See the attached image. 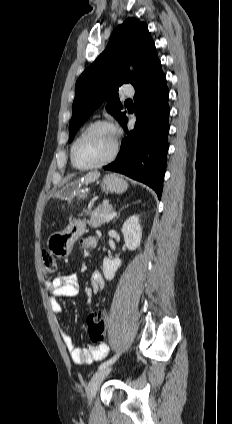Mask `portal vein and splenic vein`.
<instances>
[{"label": "portal vein and splenic vein", "mask_w": 232, "mask_h": 424, "mask_svg": "<svg viewBox=\"0 0 232 424\" xmlns=\"http://www.w3.org/2000/svg\"><path fill=\"white\" fill-rule=\"evenodd\" d=\"M116 215H117V213H116V212H111L110 214H108V215L106 216V219H107V220H111V219H113Z\"/></svg>", "instance_id": "portal-vein-and-splenic-vein-1"}]
</instances>
